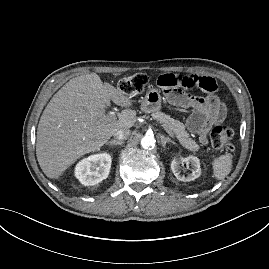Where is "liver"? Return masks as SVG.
I'll use <instances>...</instances> for the list:
<instances>
[{
  "label": "liver",
  "mask_w": 269,
  "mask_h": 269,
  "mask_svg": "<svg viewBox=\"0 0 269 269\" xmlns=\"http://www.w3.org/2000/svg\"><path fill=\"white\" fill-rule=\"evenodd\" d=\"M110 100L132 106L125 92L103 83L96 73L71 79L52 97L40 118L36 142L37 160L47 177L58 178L77 159L100 150L117 130L134 125V110H122L118 120L105 115Z\"/></svg>",
  "instance_id": "1"
}]
</instances>
